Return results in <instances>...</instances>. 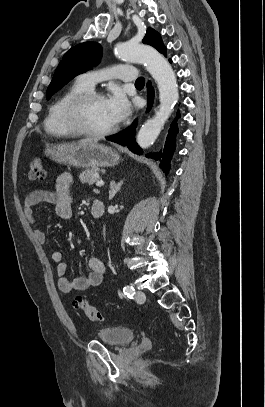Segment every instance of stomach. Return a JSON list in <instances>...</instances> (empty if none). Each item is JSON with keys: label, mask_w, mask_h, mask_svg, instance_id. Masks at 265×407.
<instances>
[{"label": "stomach", "mask_w": 265, "mask_h": 407, "mask_svg": "<svg viewBox=\"0 0 265 407\" xmlns=\"http://www.w3.org/2000/svg\"><path fill=\"white\" fill-rule=\"evenodd\" d=\"M44 154L57 163L80 168L111 167L120 161L117 151L97 142L46 144Z\"/></svg>", "instance_id": "1"}]
</instances>
